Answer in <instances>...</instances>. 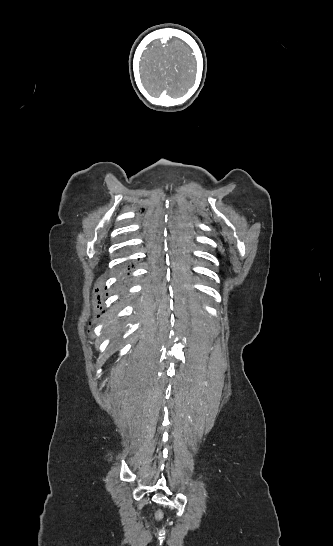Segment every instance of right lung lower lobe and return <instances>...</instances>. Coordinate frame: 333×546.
I'll return each mask as SVG.
<instances>
[{"label":"right lung lower lobe","instance_id":"obj_1","mask_svg":"<svg viewBox=\"0 0 333 546\" xmlns=\"http://www.w3.org/2000/svg\"><path fill=\"white\" fill-rule=\"evenodd\" d=\"M128 270H129V268H128ZM126 272H127V263L122 264V266H121V268H120V271H119V277H120L119 283H120V284H122V282H123V279H122V278L126 275ZM128 275H129V273H128ZM124 281H125V280H124Z\"/></svg>","mask_w":333,"mask_h":546}]
</instances>
